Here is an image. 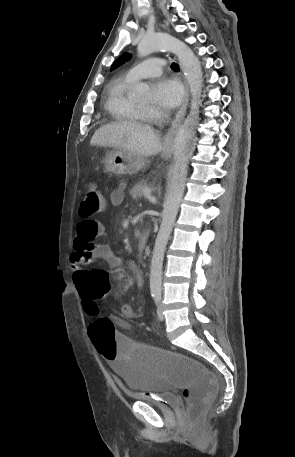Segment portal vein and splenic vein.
I'll list each match as a JSON object with an SVG mask.
<instances>
[{
	"label": "portal vein and splenic vein",
	"mask_w": 295,
	"mask_h": 457,
	"mask_svg": "<svg viewBox=\"0 0 295 457\" xmlns=\"http://www.w3.org/2000/svg\"><path fill=\"white\" fill-rule=\"evenodd\" d=\"M151 194V189L150 188H145L144 191H143V195L148 197L150 196Z\"/></svg>",
	"instance_id": "18ae733b"
}]
</instances>
